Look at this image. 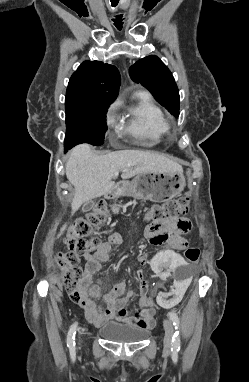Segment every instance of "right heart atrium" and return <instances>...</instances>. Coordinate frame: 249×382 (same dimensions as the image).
<instances>
[{
	"mask_svg": "<svg viewBox=\"0 0 249 382\" xmlns=\"http://www.w3.org/2000/svg\"><path fill=\"white\" fill-rule=\"evenodd\" d=\"M106 122L112 125L115 122V105H112L106 113Z\"/></svg>",
	"mask_w": 249,
	"mask_h": 382,
	"instance_id": "1",
	"label": "right heart atrium"
}]
</instances>
